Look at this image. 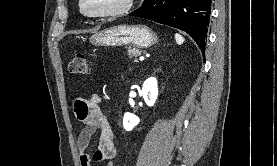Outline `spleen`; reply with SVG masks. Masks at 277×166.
Listing matches in <instances>:
<instances>
[{
	"label": "spleen",
	"instance_id": "obj_1",
	"mask_svg": "<svg viewBox=\"0 0 277 166\" xmlns=\"http://www.w3.org/2000/svg\"><path fill=\"white\" fill-rule=\"evenodd\" d=\"M175 40L179 45L183 44L185 41L184 37L178 33L175 34Z\"/></svg>",
	"mask_w": 277,
	"mask_h": 166
}]
</instances>
